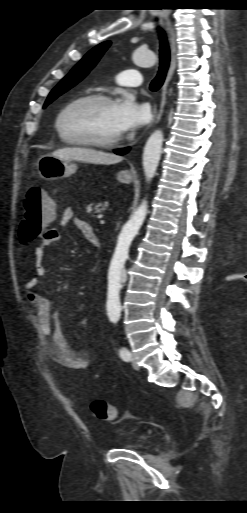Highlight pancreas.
Instances as JSON below:
<instances>
[{
    "instance_id": "1",
    "label": "pancreas",
    "mask_w": 247,
    "mask_h": 513,
    "mask_svg": "<svg viewBox=\"0 0 247 513\" xmlns=\"http://www.w3.org/2000/svg\"><path fill=\"white\" fill-rule=\"evenodd\" d=\"M108 207V203L107 202H104V203H91L88 205L87 207V210L88 212H94L92 216H95V214H98V213H101L103 211L106 210V208Z\"/></svg>"
}]
</instances>
